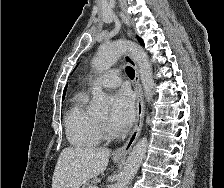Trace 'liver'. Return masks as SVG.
I'll return each instance as SVG.
<instances>
[{"mask_svg": "<svg viewBox=\"0 0 224 188\" xmlns=\"http://www.w3.org/2000/svg\"><path fill=\"white\" fill-rule=\"evenodd\" d=\"M110 150L93 147H67L57 160L52 188H80L87 180L102 173L109 161Z\"/></svg>", "mask_w": 224, "mask_h": 188, "instance_id": "liver-1", "label": "liver"}]
</instances>
